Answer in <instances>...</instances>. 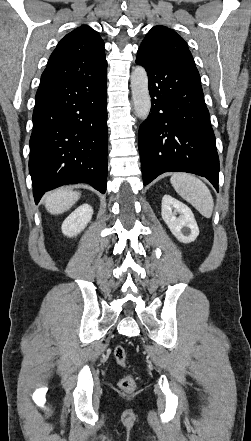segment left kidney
I'll return each mask as SVG.
<instances>
[{
  "instance_id": "obj_1",
  "label": "left kidney",
  "mask_w": 251,
  "mask_h": 441,
  "mask_svg": "<svg viewBox=\"0 0 251 441\" xmlns=\"http://www.w3.org/2000/svg\"><path fill=\"white\" fill-rule=\"evenodd\" d=\"M161 215L178 241L190 243L199 235V228L191 209L170 195H164L162 198Z\"/></svg>"
}]
</instances>
